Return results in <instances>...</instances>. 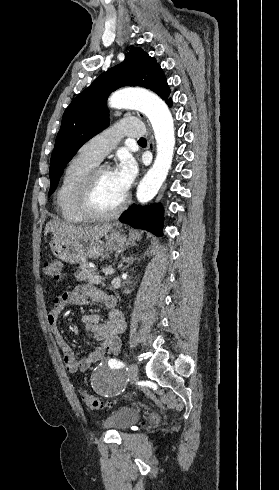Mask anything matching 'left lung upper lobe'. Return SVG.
<instances>
[{
  "label": "left lung upper lobe",
  "instance_id": "obj_1",
  "mask_svg": "<svg viewBox=\"0 0 279 490\" xmlns=\"http://www.w3.org/2000/svg\"><path fill=\"white\" fill-rule=\"evenodd\" d=\"M122 86L151 89L166 102L170 94L165 75L156 60L141 48H132L122 63L101 74L65 110L51 155L49 195L54 192L63 168L77 150L108 126L106 99Z\"/></svg>",
  "mask_w": 279,
  "mask_h": 490
}]
</instances>
